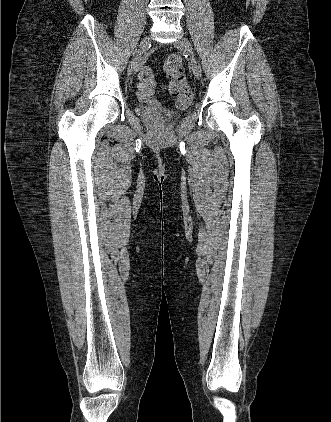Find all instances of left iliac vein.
Listing matches in <instances>:
<instances>
[{"instance_id":"obj_1","label":"left iliac vein","mask_w":331,"mask_h":422,"mask_svg":"<svg viewBox=\"0 0 331 422\" xmlns=\"http://www.w3.org/2000/svg\"><path fill=\"white\" fill-rule=\"evenodd\" d=\"M174 46L178 49L183 50L191 57L193 74L197 79H199L202 73L201 66L194 56L192 45L189 40L186 37H181L174 43Z\"/></svg>"}]
</instances>
